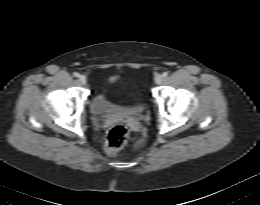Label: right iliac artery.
<instances>
[{
    "label": "right iliac artery",
    "mask_w": 260,
    "mask_h": 205,
    "mask_svg": "<svg viewBox=\"0 0 260 205\" xmlns=\"http://www.w3.org/2000/svg\"><path fill=\"white\" fill-rule=\"evenodd\" d=\"M73 75H74L75 77H79V76H80L79 73H77V72H75Z\"/></svg>",
    "instance_id": "82829eb1"
}]
</instances>
